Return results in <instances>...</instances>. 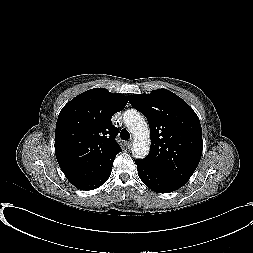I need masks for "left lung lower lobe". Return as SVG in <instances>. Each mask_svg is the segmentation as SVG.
I'll list each match as a JSON object with an SVG mask.
<instances>
[{
	"label": "left lung lower lobe",
	"mask_w": 253,
	"mask_h": 253,
	"mask_svg": "<svg viewBox=\"0 0 253 253\" xmlns=\"http://www.w3.org/2000/svg\"><path fill=\"white\" fill-rule=\"evenodd\" d=\"M135 163L142 182L157 193H169L184 185L179 181L173 180L149 168L142 160H136Z\"/></svg>",
	"instance_id": "0a47b994"
}]
</instances>
